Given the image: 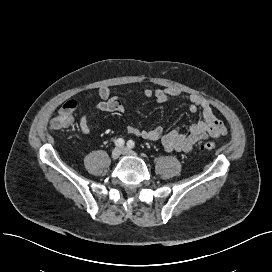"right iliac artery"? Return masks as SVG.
<instances>
[{
    "mask_svg": "<svg viewBox=\"0 0 272 272\" xmlns=\"http://www.w3.org/2000/svg\"><path fill=\"white\" fill-rule=\"evenodd\" d=\"M125 143V141L122 139V138H119L115 141V145L118 146V147H121L123 146Z\"/></svg>",
    "mask_w": 272,
    "mask_h": 272,
    "instance_id": "82829eb1",
    "label": "right iliac artery"
}]
</instances>
